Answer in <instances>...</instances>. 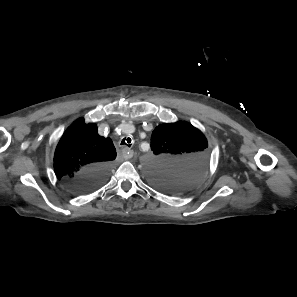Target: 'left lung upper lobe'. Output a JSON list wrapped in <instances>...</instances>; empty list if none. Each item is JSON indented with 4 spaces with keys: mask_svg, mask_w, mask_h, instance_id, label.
<instances>
[{
    "mask_svg": "<svg viewBox=\"0 0 297 297\" xmlns=\"http://www.w3.org/2000/svg\"><path fill=\"white\" fill-rule=\"evenodd\" d=\"M200 130L186 122L157 126L151 136L154 165L149 172L152 185L166 193H180L203 176L209 154Z\"/></svg>",
    "mask_w": 297,
    "mask_h": 297,
    "instance_id": "obj_1",
    "label": "left lung upper lobe"
}]
</instances>
